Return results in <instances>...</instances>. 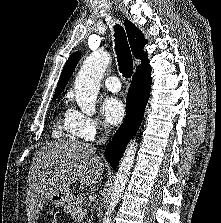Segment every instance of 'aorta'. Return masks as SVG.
Instances as JSON below:
<instances>
[{
    "label": "aorta",
    "mask_w": 221,
    "mask_h": 223,
    "mask_svg": "<svg viewBox=\"0 0 221 223\" xmlns=\"http://www.w3.org/2000/svg\"><path fill=\"white\" fill-rule=\"evenodd\" d=\"M110 61L111 57L107 52L101 50L93 52L84 61L75 79V100L79 108L87 115H93L96 112V99L100 87V80ZM136 147V141H131L119 164L109 208L103 219V223H110V215L119 203L134 163Z\"/></svg>",
    "instance_id": "obj_1"
}]
</instances>
